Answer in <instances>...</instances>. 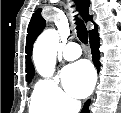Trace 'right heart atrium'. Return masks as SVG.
<instances>
[{
    "mask_svg": "<svg viewBox=\"0 0 121 113\" xmlns=\"http://www.w3.org/2000/svg\"><path fill=\"white\" fill-rule=\"evenodd\" d=\"M36 91L38 99L50 113H69L77 109L76 102L70 99L52 78L41 79Z\"/></svg>",
    "mask_w": 121,
    "mask_h": 113,
    "instance_id": "obj_1",
    "label": "right heart atrium"
}]
</instances>
